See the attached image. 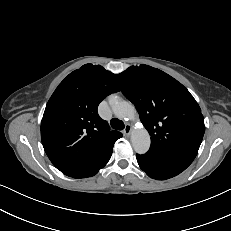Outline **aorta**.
I'll return each instance as SVG.
<instances>
[{
    "label": "aorta",
    "instance_id": "762f6f07",
    "mask_svg": "<svg viewBox=\"0 0 231 231\" xmlns=\"http://www.w3.org/2000/svg\"><path fill=\"white\" fill-rule=\"evenodd\" d=\"M110 105L113 113L120 119L132 120L135 117V109L130 102L120 100L116 97L110 98ZM133 149L138 154H145L151 144L148 131L145 128L136 129L131 135Z\"/></svg>",
    "mask_w": 231,
    "mask_h": 231
}]
</instances>
